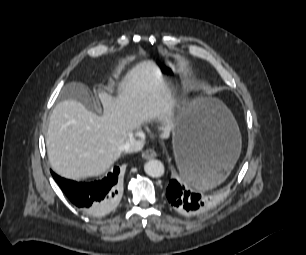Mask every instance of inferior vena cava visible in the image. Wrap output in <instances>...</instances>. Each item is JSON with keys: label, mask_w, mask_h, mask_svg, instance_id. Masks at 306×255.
<instances>
[{"label": "inferior vena cava", "mask_w": 306, "mask_h": 255, "mask_svg": "<svg viewBox=\"0 0 306 255\" xmlns=\"http://www.w3.org/2000/svg\"><path fill=\"white\" fill-rule=\"evenodd\" d=\"M136 136H139L140 138H144V133L141 131H138L135 133ZM144 146L143 140H136L131 134L126 142L121 146V150L126 152V153H133V152H138L140 151Z\"/></svg>", "instance_id": "1"}]
</instances>
